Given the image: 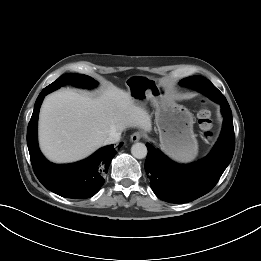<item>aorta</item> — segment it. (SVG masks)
I'll use <instances>...</instances> for the list:
<instances>
[{"label":"aorta","mask_w":261,"mask_h":261,"mask_svg":"<svg viewBox=\"0 0 261 261\" xmlns=\"http://www.w3.org/2000/svg\"><path fill=\"white\" fill-rule=\"evenodd\" d=\"M131 154L137 159H143L147 156V147L143 143H135L131 147Z\"/></svg>","instance_id":"aorta-1"}]
</instances>
